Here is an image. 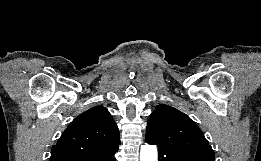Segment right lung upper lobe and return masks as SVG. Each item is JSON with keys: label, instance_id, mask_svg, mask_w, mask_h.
Returning <instances> with one entry per match:
<instances>
[{"label": "right lung upper lobe", "instance_id": "right-lung-upper-lobe-1", "mask_svg": "<svg viewBox=\"0 0 261 161\" xmlns=\"http://www.w3.org/2000/svg\"><path fill=\"white\" fill-rule=\"evenodd\" d=\"M120 145L119 130L110 113L96 106L76 117L51 150L50 161H72Z\"/></svg>", "mask_w": 261, "mask_h": 161}]
</instances>
